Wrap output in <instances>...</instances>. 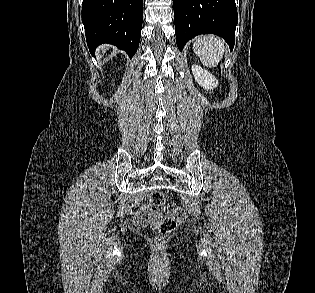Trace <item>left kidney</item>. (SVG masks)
Returning <instances> with one entry per match:
<instances>
[{"label": "left kidney", "instance_id": "5707ae66", "mask_svg": "<svg viewBox=\"0 0 315 293\" xmlns=\"http://www.w3.org/2000/svg\"><path fill=\"white\" fill-rule=\"evenodd\" d=\"M192 73L197 83L206 90H212L218 86L217 79L198 65L192 66Z\"/></svg>", "mask_w": 315, "mask_h": 293}]
</instances>
